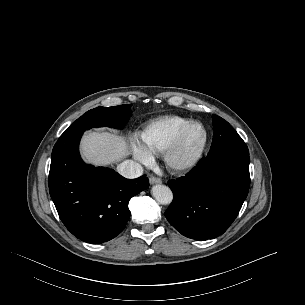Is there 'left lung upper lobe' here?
<instances>
[{
	"label": "left lung upper lobe",
	"mask_w": 305,
	"mask_h": 305,
	"mask_svg": "<svg viewBox=\"0 0 305 305\" xmlns=\"http://www.w3.org/2000/svg\"><path fill=\"white\" fill-rule=\"evenodd\" d=\"M213 128V141L207 156H215L227 151L249 152L245 142L227 121L213 115Z\"/></svg>",
	"instance_id": "left-lung-upper-lobe-1"
}]
</instances>
